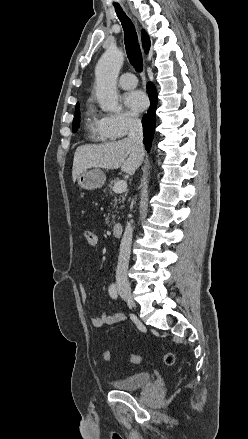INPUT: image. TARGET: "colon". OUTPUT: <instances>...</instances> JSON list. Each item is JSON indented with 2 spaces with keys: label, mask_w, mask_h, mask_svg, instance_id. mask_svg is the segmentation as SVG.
I'll use <instances>...</instances> for the list:
<instances>
[{
  "label": "colon",
  "mask_w": 248,
  "mask_h": 439,
  "mask_svg": "<svg viewBox=\"0 0 248 439\" xmlns=\"http://www.w3.org/2000/svg\"><path fill=\"white\" fill-rule=\"evenodd\" d=\"M84 238H85L86 243L89 246H96L98 244V237H97V235H96V233L94 231L86 230L84 232ZM103 359L106 362H111L112 361V354H111V352L109 350H105L103 352ZM163 360H164L165 364H167L168 366H172L176 362V357H175V355L173 353L168 352V353H165L163 355ZM129 361L132 364H138L140 362V357L138 355H130L129 356Z\"/></svg>",
  "instance_id": "colon-1"
}]
</instances>
